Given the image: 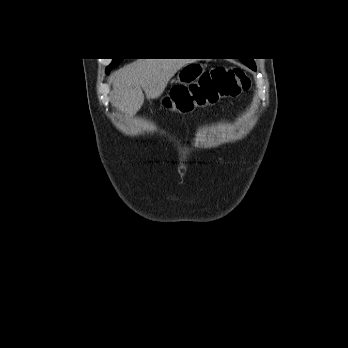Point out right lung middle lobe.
<instances>
[{
  "instance_id": "obj_1",
  "label": "right lung middle lobe",
  "mask_w": 348,
  "mask_h": 348,
  "mask_svg": "<svg viewBox=\"0 0 348 348\" xmlns=\"http://www.w3.org/2000/svg\"><path fill=\"white\" fill-rule=\"evenodd\" d=\"M121 61L122 59H113V62L106 68V72L108 73L111 69L116 67Z\"/></svg>"
}]
</instances>
